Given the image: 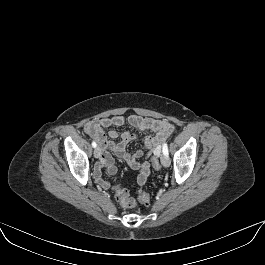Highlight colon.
<instances>
[{
  "label": "colon",
  "mask_w": 265,
  "mask_h": 265,
  "mask_svg": "<svg viewBox=\"0 0 265 265\" xmlns=\"http://www.w3.org/2000/svg\"><path fill=\"white\" fill-rule=\"evenodd\" d=\"M159 152H155L152 156V166L154 169L159 170L160 169V162H159ZM115 196L117 201L121 204L124 208H133L136 206V201L130 197L127 190L121 188L120 186H116L114 188ZM138 200L140 203L144 205L150 204V196L147 193H139Z\"/></svg>",
  "instance_id": "colon-1"
}]
</instances>
